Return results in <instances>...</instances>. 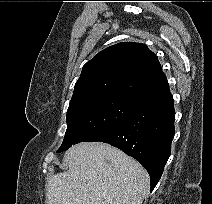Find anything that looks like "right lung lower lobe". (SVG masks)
Segmentation results:
<instances>
[{
  "instance_id": "obj_1",
  "label": "right lung lower lobe",
  "mask_w": 212,
  "mask_h": 204,
  "mask_svg": "<svg viewBox=\"0 0 212 204\" xmlns=\"http://www.w3.org/2000/svg\"><path fill=\"white\" fill-rule=\"evenodd\" d=\"M173 97L166 91L142 103L121 125L94 142H105L132 156L148 171L151 191L164 170L174 137Z\"/></svg>"
}]
</instances>
